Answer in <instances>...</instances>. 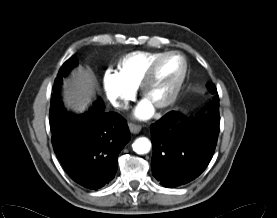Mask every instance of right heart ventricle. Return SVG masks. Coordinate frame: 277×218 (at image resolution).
Listing matches in <instances>:
<instances>
[{"label": "right heart ventricle", "instance_id": "right-heart-ventricle-1", "mask_svg": "<svg viewBox=\"0 0 277 218\" xmlns=\"http://www.w3.org/2000/svg\"><path fill=\"white\" fill-rule=\"evenodd\" d=\"M163 52L136 51L124 56L119 63L118 73L124 82L137 88L150 63Z\"/></svg>", "mask_w": 277, "mask_h": 218}]
</instances>
